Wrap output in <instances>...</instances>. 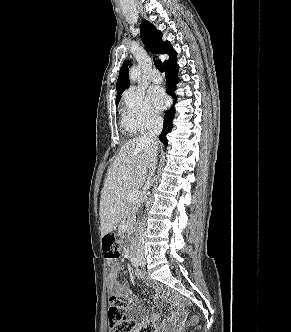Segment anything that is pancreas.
<instances>
[{"label":"pancreas","mask_w":291,"mask_h":332,"mask_svg":"<svg viewBox=\"0 0 291 332\" xmlns=\"http://www.w3.org/2000/svg\"><path fill=\"white\" fill-rule=\"evenodd\" d=\"M139 203L138 202H128L126 199L123 202L122 207V221L124 224V230L130 232L135 223V215L138 211Z\"/></svg>","instance_id":"1"}]
</instances>
